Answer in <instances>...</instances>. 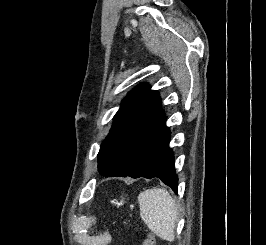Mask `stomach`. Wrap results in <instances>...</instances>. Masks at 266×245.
Masks as SVG:
<instances>
[{"label": "stomach", "mask_w": 266, "mask_h": 245, "mask_svg": "<svg viewBox=\"0 0 266 245\" xmlns=\"http://www.w3.org/2000/svg\"><path fill=\"white\" fill-rule=\"evenodd\" d=\"M125 201H127V199H124V197H121L120 205H123V203H125Z\"/></svg>", "instance_id": "stomach-1"}]
</instances>
